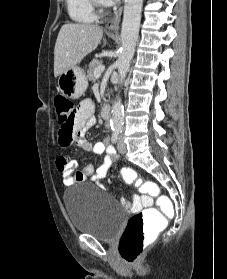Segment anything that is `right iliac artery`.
<instances>
[{
  "instance_id": "right-iliac-artery-1",
  "label": "right iliac artery",
  "mask_w": 227,
  "mask_h": 279,
  "mask_svg": "<svg viewBox=\"0 0 227 279\" xmlns=\"http://www.w3.org/2000/svg\"><path fill=\"white\" fill-rule=\"evenodd\" d=\"M119 136H120V131H114L111 137L112 143L116 144L119 139Z\"/></svg>"
}]
</instances>
